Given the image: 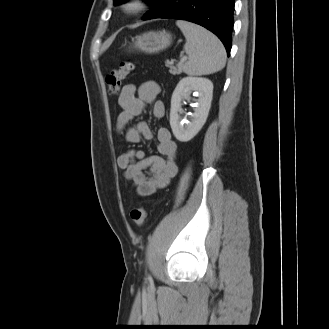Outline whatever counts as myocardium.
Returning a JSON list of instances; mask_svg holds the SVG:
<instances>
[{"label":"myocardium","instance_id":"1","mask_svg":"<svg viewBox=\"0 0 329 329\" xmlns=\"http://www.w3.org/2000/svg\"><path fill=\"white\" fill-rule=\"evenodd\" d=\"M148 7L147 0H126L121 6L124 13L134 15L142 12Z\"/></svg>","mask_w":329,"mask_h":329}]
</instances>
